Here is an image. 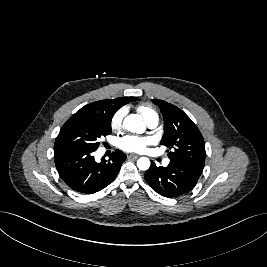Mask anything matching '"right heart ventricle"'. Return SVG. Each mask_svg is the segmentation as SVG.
<instances>
[{
  "mask_svg": "<svg viewBox=\"0 0 267 267\" xmlns=\"http://www.w3.org/2000/svg\"><path fill=\"white\" fill-rule=\"evenodd\" d=\"M138 111L146 122L151 118L158 117L157 112L149 105L139 106Z\"/></svg>",
  "mask_w": 267,
  "mask_h": 267,
  "instance_id": "1",
  "label": "right heart ventricle"
}]
</instances>
